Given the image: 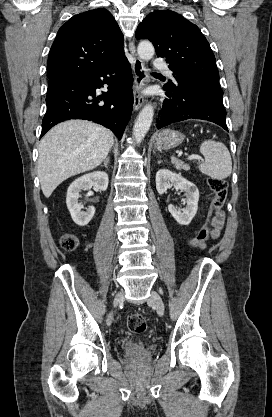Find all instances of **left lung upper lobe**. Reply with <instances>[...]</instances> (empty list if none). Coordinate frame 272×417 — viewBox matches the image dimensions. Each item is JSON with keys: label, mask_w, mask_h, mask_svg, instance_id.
I'll return each instance as SVG.
<instances>
[{"label": "left lung upper lobe", "mask_w": 272, "mask_h": 417, "mask_svg": "<svg viewBox=\"0 0 272 417\" xmlns=\"http://www.w3.org/2000/svg\"><path fill=\"white\" fill-rule=\"evenodd\" d=\"M136 38L153 43L157 56L166 59L176 80L223 96L215 56L195 24L176 12L157 10L139 24ZM168 84L173 85L171 81Z\"/></svg>", "instance_id": "5c2ea615"}]
</instances>
